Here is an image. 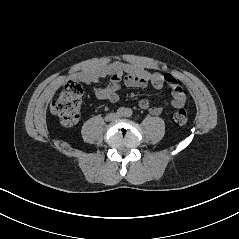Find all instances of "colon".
I'll use <instances>...</instances> for the list:
<instances>
[{
    "label": "colon",
    "instance_id": "1",
    "mask_svg": "<svg viewBox=\"0 0 239 239\" xmlns=\"http://www.w3.org/2000/svg\"><path fill=\"white\" fill-rule=\"evenodd\" d=\"M84 96L83 86L74 79L65 83L64 91L51 104V111L65 126L74 125L80 116L81 101ZM188 116L184 108H179L173 115V121L177 125L187 122Z\"/></svg>",
    "mask_w": 239,
    "mask_h": 239
}]
</instances>
